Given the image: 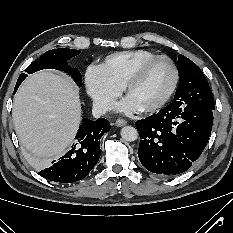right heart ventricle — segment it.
Instances as JSON below:
<instances>
[{
    "instance_id": "e07e8e85",
    "label": "right heart ventricle",
    "mask_w": 233,
    "mask_h": 233,
    "mask_svg": "<svg viewBox=\"0 0 233 233\" xmlns=\"http://www.w3.org/2000/svg\"><path fill=\"white\" fill-rule=\"evenodd\" d=\"M155 55V53L145 49L116 52L105 59L102 67L108 76L122 87L127 77L140 63Z\"/></svg>"
}]
</instances>
